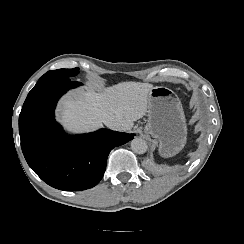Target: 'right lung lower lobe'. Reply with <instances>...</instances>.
<instances>
[{"mask_svg": "<svg viewBox=\"0 0 244 244\" xmlns=\"http://www.w3.org/2000/svg\"><path fill=\"white\" fill-rule=\"evenodd\" d=\"M79 85L68 77L39 80L19 115L21 148L28 165L48 185L65 191L97 185L109 152L134 136L108 129L66 135L54 119V109L66 91Z\"/></svg>", "mask_w": 244, "mask_h": 244, "instance_id": "right-lung-lower-lobe-1", "label": "right lung lower lobe"}]
</instances>
